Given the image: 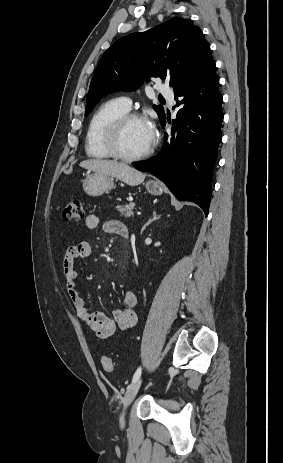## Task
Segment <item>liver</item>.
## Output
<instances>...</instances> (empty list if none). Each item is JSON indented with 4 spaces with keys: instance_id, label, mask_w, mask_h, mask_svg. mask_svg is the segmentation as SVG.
<instances>
[{
    "instance_id": "6515ba94",
    "label": "liver",
    "mask_w": 283,
    "mask_h": 463,
    "mask_svg": "<svg viewBox=\"0 0 283 463\" xmlns=\"http://www.w3.org/2000/svg\"><path fill=\"white\" fill-rule=\"evenodd\" d=\"M80 167L93 171L95 174L115 177L130 186L141 184L146 175L125 163L103 159H89L82 161Z\"/></svg>"
}]
</instances>
